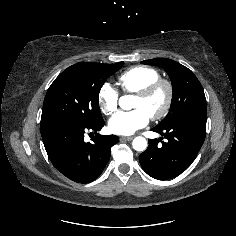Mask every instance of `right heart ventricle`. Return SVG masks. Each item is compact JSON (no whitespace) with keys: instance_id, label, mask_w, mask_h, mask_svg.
<instances>
[{"instance_id":"e07e8e85","label":"right heart ventricle","mask_w":236,"mask_h":236,"mask_svg":"<svg viewBox=\"0 0 236 236\" xmlns=\"http://www.w3.org/2000/svg\"><path fill=\"white\" fill-rule=\"evenodd\" d=\"M160 79L159 72L151 67L136 66L124 71L118 82L126 93H137L148 84Z\"/></svg>"}]
</instances>
